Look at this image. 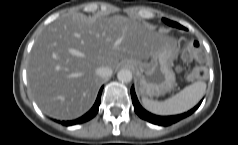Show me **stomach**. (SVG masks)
<instances>
[{
	"mask_svg": "<svg viewBox=\"0 0 238 145\" xmlns=\"http://www.w3.org/2000/svg\"><path fill=\"white\" fill-rule=\"evenodd\" d=\"M175 57V45L167 41L149 62H144L139 68L136 72L138 91L143 97L161 96L174 87L175 74L172 66Z\"/></svg>",
	"mask_w": 238,
	"mask_h": 145,
	"instance_id": "obj_1",
	"label": "stomach"
}]
</instances>
